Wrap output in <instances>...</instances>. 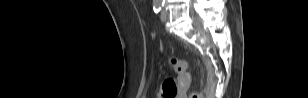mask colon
Instances as JSON below:
<instances>
[{"instance_id":"colon-1","label":"colon","mask_w":308,"mask_h":98,"mask_svg":"<svg viewBox=\"0 0 308 98\" xmlns=\"http://www.w3.org/2000/svg\"><path fill=\"white\" fill-rule=\"evenodd\" d=\"M170 64L177 73H185L188 69L187 62L181 59L172 58ZM177 93L176 84L173 80H166L161 87L160 97L161 98H175ZM202 94L200 92H193L190 95V98H201Z\"/></svg>"}]
</instances>
